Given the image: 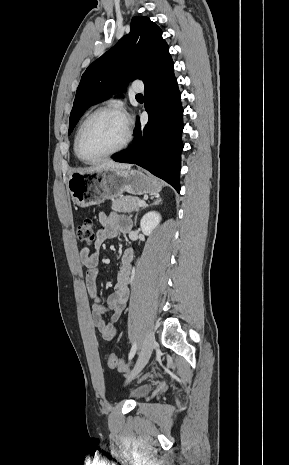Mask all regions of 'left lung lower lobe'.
Instances as JSON below:
<instances>
[{"instance_id":"obj_1","label":"left lung lower lobe","mask_w":289,"mask_h":465,"mask_svg":"<svg viewBox=\"0 0 289 465\" xmlns=\"http://www.w3.org/2000/svg\"><path fill=\"white\" fill-rule=\"evenodd\" d=\"M144 95L148 123L141 126L138 118L132 146L111 158L117 162L137 164L180 192L183 108L174 71L146 85Z\"/></svg>"}]
</instances>
